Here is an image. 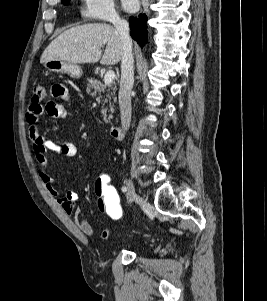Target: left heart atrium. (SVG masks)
Wrapping results in <instances>:
<instances>
[{
	"instance_id": "1",
	"label": "left heart atrium",
	"mask_w": 267,
	"mask_h": 301,
	"mask_svg": "<svg viewBox=\"0 0 267 301\" xmlns=\"http://www.w3.org/2000/svg\"><path fill=\"white\" fill-rule=\"evenodd\" d=\"M123 8L126 11H134L137 8L138 2L137 0H122Z\"/></svg>"
}]
</instances>
